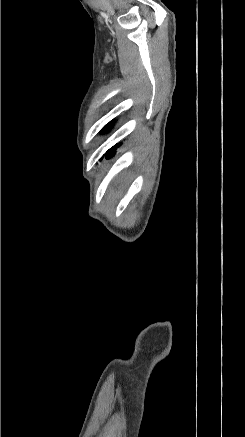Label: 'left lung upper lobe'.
<instances>
[{
    "label": "left lung upper lobe",
    "instance_id": "obj_1",
    "mask_svg": "<svg viewBox=\"0 0 245 437\" xmlns=\"http://www.w3.org/2000/svg\"><path fill=\"white\" fill-rule=\"evenodd\" d=\"M111 125H112V123H108V124L105 126L104 130L109 129V128L111 127Z\"/></svg>",
    "mask_w": 245,
    "mask_h": 437
}]
</instances>
